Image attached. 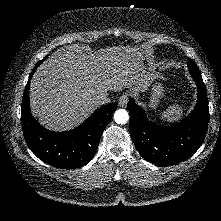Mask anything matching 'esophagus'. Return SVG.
<instances>
[{
  "label": "esophagus",
  "instance_id": "esophagus-1",
  "mask_svg": "<svg viewBox=\"0 0 221 221\" xmlns=\"http://www.w3.org/2000/svg\"><path fill=\"white\" fill-rule=\"evenodd\" d=\"M128 100H129V95L128 94H123L120 98H119V106L120 107H126L127 106V103H128Z\"/></svg>",
  "mask_w": 221,
  "mask_h": 221
}]
</instances>
